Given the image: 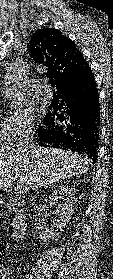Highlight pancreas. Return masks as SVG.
<instances>
[{
  "instance_id": "pancreas-1",
  "label": "pancreas",
  "mask_w": 113,
  "mask_h": 279,
  "mask_svg": "<svg viewBox=\"0 0 113 279\" xmlns=\"http://www.w3.org/2000/svg\"><path fill=\"white\" fill-rule=\"evenodd\" d=\"M7 208L9 209H14L15 206H19V203H17V200L14 199V200H11L9 204L6 205Z\"/></svg>"
}]
</instances>
